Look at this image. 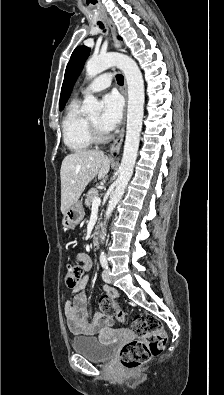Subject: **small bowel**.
<instances>
[{
  "mask_svg": "<svg viewBox=\"0 0 224 395\" xmlns=\"http://www.w3.org/2000/svg\"><path fill=\"white\" fill-rule=\"evenodd\" d=\"M83 268L87 271L90 268L91 261L86 254L79 256ZM89 282L88 276L84 275L75 285L76 294L72 300L67 301L64 305V315L69 330L75 335H97L111 329L113 321L102 313L90 315L85 296V288ZM103 289L108 295L117 297L115 289L104 286Z\"/></svg>",
  "mask_w": 224,
  "mask_h": 395,
  "instance_id": "obj_1",
  "label": "small bowel"
}]
</instances>
